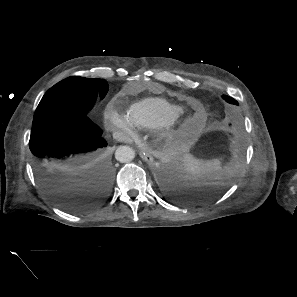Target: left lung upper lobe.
Returning <instances> with one entry per match:
<instances>
[{
    "instance_id": "left-lung-upper-lobe-1",
    "label": "left lung upper lobe",
    "mask_w": 297,
    "mask_h": 297,
    "mask_svg": "<svg viewBox=\"0 0 297 297\" xmlns=\"http://www.w3.org/2000/svg\"><path fill=\"white\" fill-rule=\"evenodd\" d=\"M223 99L230 104L238 105V102L235 99H233L232 97L223 95Z\"/></svg>"
}]
</instances>
